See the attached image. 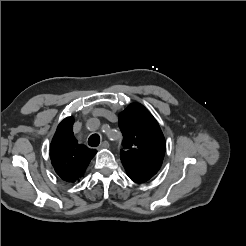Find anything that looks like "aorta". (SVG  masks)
Returning a JSON list of instances; mask_svg holds the SVG:
<instances>
[{"mask_svg": "<svg viewBox=\"0 0 246 246\" xmlns=\"http://www.w3.org/2000/svg\"><path fill=\"white\" fill-rule=\"evenodd\" d=\"M107 136H108L109 138L111 137V135H110V134H108Z\"/></svg>", "mask_w": 246, "mask_h": 246, "instance_id": "762f6f07", "label": "aorta"}]
</instances>
